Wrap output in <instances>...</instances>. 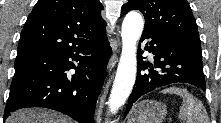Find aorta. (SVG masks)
I'll return each mask as SVG.
<instances>
[{
    "instance_id": "762f6f07",
    "label": "aorta",
    "mask_w": 221,
    "mask_h": 123,
    "mask_svg": "<svg viewBox=\"0 0 221 123\" xmlns=\"http://www.w3.org/2000/svg\"><path fill=\"white\" fill-rule=\"evenodd\" d=\"M143 28L144 22L139 13L132 11L125 16L121 30L122 53L108 102L112 113L125 104L135 83L137 41Z\"/></svg>"
}]
</instances>
